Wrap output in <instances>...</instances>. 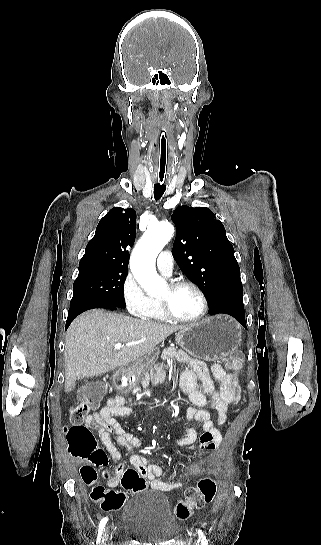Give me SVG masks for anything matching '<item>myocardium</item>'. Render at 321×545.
I'll use <instances>...</instances> for the list:
<instances>
[{
	"label": "myocardium",
	"mask_w": 321,
	"mask_h": 545,
	"mask_svg": "<svg viewBox=\"0 0 321 545\" xmlns=\"http://www.w3.org/2000/svg\"><path fill=\"white\" fill-rule=\"evenodd\" d=\"M168 287L172 291H178V290L183 289V288H190V289L194 290L199 295L200 300H201V310H200L199 314L196 317L189 318V319L179 317L173 311H171L166 305H164L162 303H158V306H159L161 312L164 314V316L169 321L179 323V324L192 325V324H196V323L201 322L205 318V316L207 315L208 310H209V302H208V298H207L205 292L202 290V288L200 286H198L197 284H195V283H193L191 281L182 280V281L169 283Z\"/></svg>",
	"instance_id": "obj_1"
}]
</instances>
